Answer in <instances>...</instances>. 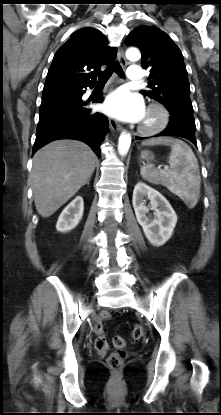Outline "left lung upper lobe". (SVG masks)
Instances as JSON below:
<instances>
[{"label": "left lung upper lobe", "instance_id": "left-lung-upper-lobe-1", "mask_svg": "<svg viewBox=\"0 0 221 415\" xmlns=\"http://www.w3.org/2000/svg\"><path fill=\"white\" fill-rule=\"evenodd\" d=\"M126 45L141 50V65L150 69L146 95L162 103L167 109L192 107L188 73L178 46L155 26H139L125 39Z\"/></svg>", "mask_w": 221, "mask_h": 415}]
</instances>
